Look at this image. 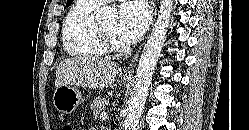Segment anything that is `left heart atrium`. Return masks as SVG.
<instances>
[{
	"label": "left heart atrium",
	"instance_id": "39dd6f15",
	"mask_svg": "<svg viewBox=\"0 0 249 130\" xmlns=\"http://www.w3.org/2000/svg\"><path fill=\"white\" fill-rule=\"evenodd\" d=\"M150 23V12L142 0L127 1L119 8L116 32L126 43L137 41Z\"/></svg>",
	"mask_w": 249,
	"mask_h": 130
}]
</instances>
